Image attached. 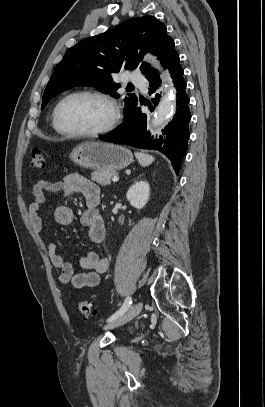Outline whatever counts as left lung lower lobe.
Here are the masks:
<instances>
[{"mask_svg": "<svg viewBox=\"0 0 265 407\" xmlns=\"http://www.w3.org/2000/svg\"><path fill=\"white\" fill-rule=\"evenodd\" d=\"M169 71L177 90V111L173 120L162 130L161 135L157 136L156 139L150 136L147 132V115L142 113L140 107L136 106L114 132L99 138L103 141L125 144L136 148L158 150L171 160L178 174L182 159L187 151L188 127L191 119L188 107L190 99L185 91L184 70L179 60ZM147 79L149 81V95L153 96L152 101L154 105H157L161 97V80L157 76H151ZM148 106L152 111L153 105L149 102Z\"/></svg>", "mask_w": 265, "mask_h": 407, "instance_id": "0a47b994", "label": "left lung lower lobe"}]
</instances>
